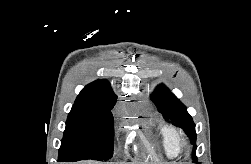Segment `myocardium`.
Masks as SVG:
<instances>
[{"label":"myocardium","instance_id":"f54148a6","mask_svg":"<svg viewBox=\"0 0 251 164\" xmlns=\"http://www.w3.org/2000/svg\"><path fill=\"white\" fill-rule=\"evenodd\" d=\"M174 146H175L176 153H179V152H182L184 148L187 146V142L183 138H176Z\"/></svg>","mask_w":251,"mask_h":164}]
</instances>
